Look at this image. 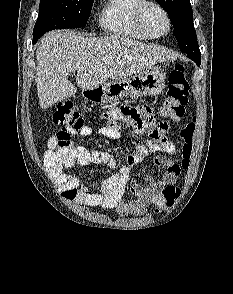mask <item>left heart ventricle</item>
Returning <instances> with one entry per match:
<instances>
[{"label":"left heart ventricle","instance_id":"left-heart-ventricle-1","mask_svg":"<svg viewBox=\"0 0 233 294\" xmlns=\"http://www.w3.org/2000/svg\"><path fill=\"white\" fill-rule=\"evenodd\" d=\"M145 22L154 34H162L167 30V22L164 15L155 8H149L146 11Z\"/></svg>","mask_w":233,"mask_h":294}]
</instances>
